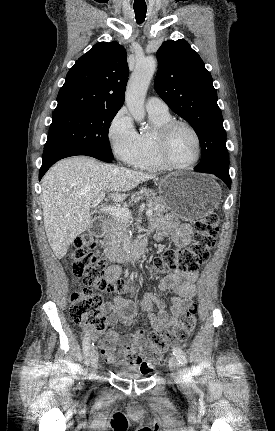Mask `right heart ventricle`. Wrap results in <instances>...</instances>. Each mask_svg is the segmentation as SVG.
Segmentation results:
<instances>
[{
    "label": "right heart ventricle",
    "instance_id": "obj_1",
    "mask_svg": "<svg viewBox=\"0 0 275 431\" xmlns=\"http://www.w3.org/2000/svg\"><path fill=\"white\" fill-rule=\"evenodd\" d=\"M149 117L154 125L155 131L151 134L141 135L142 150L132 165L142 170L162 171L167 169V167L161 162L157 155L155 134L161 126L172 120V117L169 112L164 114L149 113Z\"/></svg>",
    "mask_w": 275,
    "mask_h": 431
}]
</instances>
